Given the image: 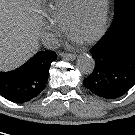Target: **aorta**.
Masks as SVG:
<instances>
[{"instance_id": "762f6f07", "label": "aorta", "mask_w": 135, "mask_h": 135, "mask_svg": "<svg viewBox=\"0 0 135 135\" xmlns=\"http://www.w3.org/2000/svg\"><path fill=\"white\" fill-rule=\"evenodd\" d=\"M77 67L82 73L89 75L94 70L95 61L92 56L88 54H81L77 58Z\"/></svg>"}]
</instances>
